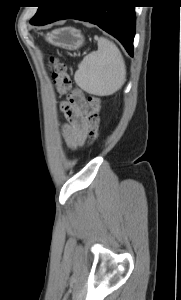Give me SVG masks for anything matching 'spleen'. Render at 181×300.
<instances>
[{
  "label": "spleen",
  "instance_id": "1",
  "mask_svg": "<svg viewBox=\"0 0 181 300\" xmlns=\"http://www.w3.org/2000/svg\"><path fill=\"white\" fill-rule=\"evenodd\" d=\"M74 80L89 94H114L126 81L125 62L118 47L109 39L100 37L98 50L83 58L75 72Z\"/></svg>",
  "mask_w": 181,
  "mask_h": 300
}]
</instances>
